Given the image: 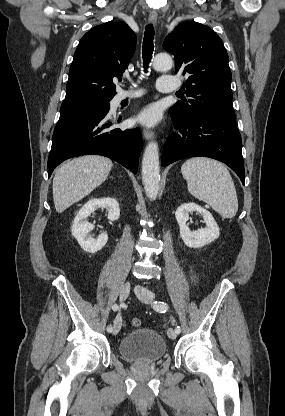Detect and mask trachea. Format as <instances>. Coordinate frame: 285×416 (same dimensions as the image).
I'll return each instance as SVG.
<instances>
[{
  "label": "trachea",
  "mask_w": 285,
  "mask_h": 416,
  "mask_svg": "<svg viewBox=\"0 0 285 416\" xmlns=\"http://www.w3.org/2000/svg\"><path fill=\"white\" fill-rule=\"evenodd\" d=\"M154 27L149 24L145 28L143 46H142V56L144 61V68H148V64L151 61L152 53L154 51Z\"/></svg>",
  "instance_id": "obj_1"
}]
</instances>
